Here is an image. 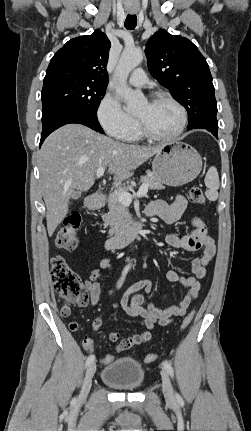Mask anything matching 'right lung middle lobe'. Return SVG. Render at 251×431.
Segmentation results:
<instances>
[{
  "label": "right lung middle lobe",
  "instance_id": "right-lung-middle-lobe-1",
  "mask_svg": "<svg viewBox=\"0 0 251 431\" xmlns=\"http://www.w3.org/2000/svg\"><path fill=\"white\" fill-rule=\"evenodd\" d=\"M107 84L61 70L46 72L42 89V116L70 109L97 117Z\"/></svg>",
  "mask_w": 251,
  "mask_h": 431
}]
</instances>
